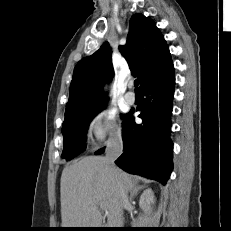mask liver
Listing matches in <instances>:
<instances>
[{
  "label": "liver",
  "instance_id": "6515ba94",
  "mask_svg": "<svg viewBox=\"0 0 231 231\" xmlns=\"http://www.w3.org/2000/svg\"><path fill=\"white\" fill-rule=\"evenodd\" d=\"M63 228H101L99 206L107 212L109 228L123 225L122 193L135 187L132 177L119 168L110 170L101 156H88L66 166L61 175Z\"/></svg>",
  "mask_w": 231,
  "mask_h": 231
}]
</instances>
